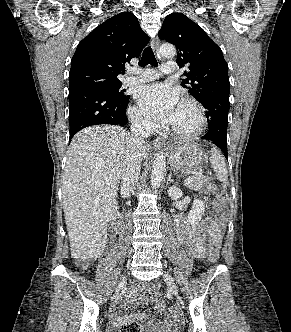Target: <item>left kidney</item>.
<instances>
[{"label":"left kidney","mask_w":291,"mask_h":332,"mask_svg":"<svg viewBox=\"0 0 291 332\" xmlns=\"http://www.w3.org/2000/svg\"><path fill=\"white\" fill-rule=\"evenodd\" d=\"M168 194L172 200H177L183 195L182 191L175 186L169 188ZM204 208V202L195 198L193 201L192 209L188 214V222H190L192 225L197 224L198 221L201 220Z\"/></svg>","instance_id":"5707ae66"}]
</instances>
